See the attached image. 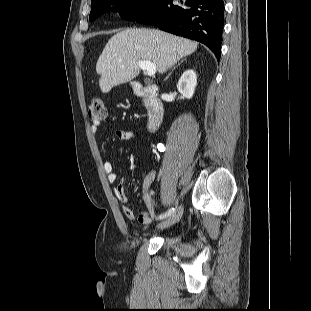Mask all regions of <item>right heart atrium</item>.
Returning <instances> with one entry per match:
<instances>
[{
  "label": "right heart atrium",
  "mask_w": 311,
  "mask_h": 311,
  "mask_svg": "<svg viewBox=\"0 0 311 311\" xmlns=\"http://www.w3.org/2000/svg\"><path fill=\"white\" fill-rule=\"evenodd\" d=\"M125 3L127 5H133L135 3V1L134 0H126Z\"/></svg>",
  "instance_id": "1"
}]
</instances>
